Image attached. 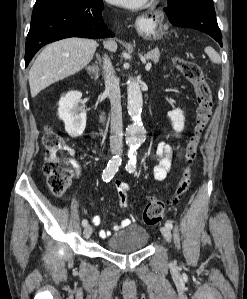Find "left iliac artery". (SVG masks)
I'll return each instance as SVG.
<instances>
[{"label":"left iliac artery","mask_w":247,"mask_h":299,"mask_svg":"<svg viewBox=\"0 0 247 299\" xmlns=\"http://www.w3.org/2000/svg\"><path fill=\"white\" fill-rule=\"evenodd\" d=\"M135 166H136V155H129L128 163L126 164V170L129 173H132L135 171ZM165 226L169 229H172L173 224L170 221H166Z\"/></svg>","instance_id":"left-iliac-artery-1"}]
</instances>
